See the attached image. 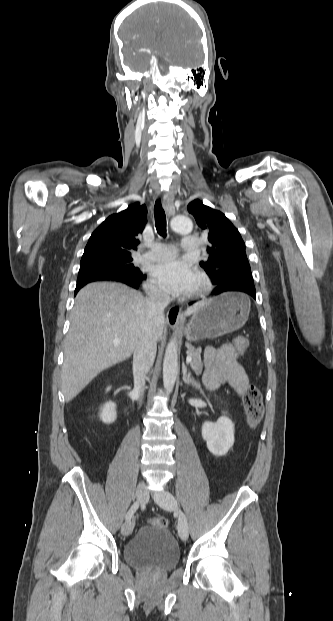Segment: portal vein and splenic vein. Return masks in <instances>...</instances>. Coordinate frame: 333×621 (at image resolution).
I'll list each match as a JSON object with an SVG mask.
<instances>
[{
    "instance_id": "1",
    "label": "portal vein and splenic vein",
    "mask_w": 333,
    "mask_h": 621,
    "mask_svg": "<svg viewBox=\"0 0 333 621\" xmlns=\"http://www.w3.org/2000/svg\"><path fill=\"white\" fill-rule=\"evenodd\" d=\"M115 342H118V341H115ZM186 362L187 363H191L192 362V357L188 355L187 358H186Z\"/></svg>"
}]
</instances>
